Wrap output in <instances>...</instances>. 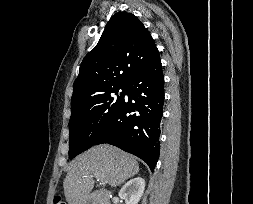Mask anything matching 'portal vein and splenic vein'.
I'll use <instances>...</instances> for the list:
<instances>
[{
    "instance_id": "portal-vein-and-splenic-vein-1",
    "label": "portal vein and splenic vein",
    "mask_w": 253,
    "mask_h": 204,
    "mask_svg": "<svg viewBox=\"0 0 253 204\" xmlns=\"http://www.w3.org/2000/svg\"><path fill=\"white\" fill-rule=\"evenodd\" d=\"M93 176L96 177L98 181H100V184H105L106 183L97 174H94Z\"/></svg>"
}]
</instances>
